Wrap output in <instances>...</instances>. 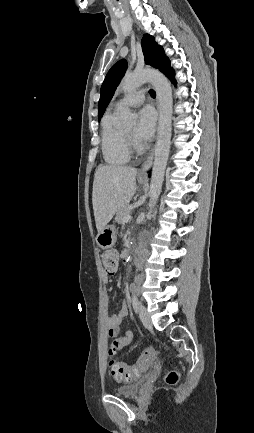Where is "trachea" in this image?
<instances>
[{"label": "trachea", "instance_id": "3493384b", "mask_svg": "<svg viewBox=\"0 0 254 433\" xmlns=\"http://www.w3.org/2000/svg\"><path fill=\"white\" fill-rule=\"evenodd\" d=\"M149 94H150V96L153 97V98L156 97V93H155V91L152 90V89L149 90Z\"/></svg>", "mask_w": 254, "mask_h": 433}]
</instances>
